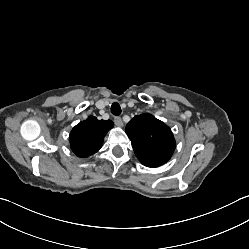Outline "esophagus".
Segmentation results:
<instances>
[{"mask_svg": "<svg viewBox=\"0 0 249 249\" xmlns=\"http://www.w3.org/2000/svg\"><path fill=\"white\" fill-rule=\"evenodd\" d=\"M114 122L117 126L122 127L123 126V121L120 117H115Z\"/></svg>", "mask_w": 249, "mask_h": 249, "instance_id": "esophagus-1", "label": "esophagus"}]
</instances>
